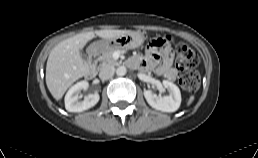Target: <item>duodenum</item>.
<instances>
[{"label":"duodenum","instance_id":"duodenum-1","mask_svg":"<svg viewBox=\"0 0 258 158\" xmlns=\"http://www.w3.org/2000/svg\"><path fill=\"white\" fill-rule=\"evenodd\" d=\"M102 53H103V49L100 46L94 48L90 52V54H89V69H88V72H87V78L91 79V78L95 77L96 72H97L96 64L99 61Z\"/></svg>","mask_w":258,"mask_h":158}]
</instances>
